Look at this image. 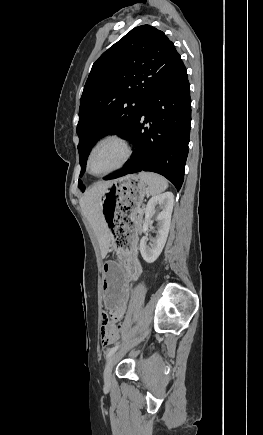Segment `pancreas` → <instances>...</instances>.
Returning <instances> with one entry per match:
<instances>
[{
    "mask_svg": "<svg viewBox=\"0 0 263 435\" xmlns=\"http://www.w3.org/2000/svg\"><path fill=\"white\" fill-rule=\"evenodd\" d=\"M143 213H144L143 209H136L134 213H132L133 219L136 223H139L141 221ZM136 214H138V216H136Z\"/></svg>",
    "mask_w": 263,
    "mask_h": 435,
    "instance_id": "pancreas-1",
    "label": "pancreas"
}]
</instances>
